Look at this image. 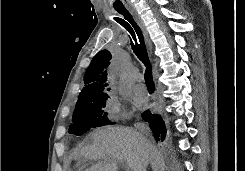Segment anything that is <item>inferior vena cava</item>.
<instances>
[{
	"mask_svg": "<svg viewBox=\"0 0 245 171\" xmlns=\"http://www.w3.org/2000/svg\"><path fill=\"white\" fill-rule=\"evenodd\" d=\"M137 128L142 132V133H148V128L145 127L144 125H138ZM142 171H146V166L142 168Z\"/></svg>",
	"mask_w": 245,
	"mask_h": 171,
	"instance_id": "602c4592",
	"label": "inferior vena cava"
}]
</instances>
